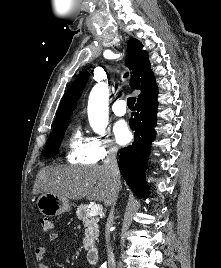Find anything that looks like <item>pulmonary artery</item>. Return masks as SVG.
Segmentation results:
<instances>
[{
	"instance_id": "obj_1",
	"label": "pulmonary artery",
	"mask_w": 221,
	"mask_h": 268,
	"mask_svg": "<svg viewBox=\"0 0 221 268\" xmlns=\"http://www.w3.org/2000/svg\"><path fill=\"white\" fill-rule=\"evenodd\" d=\"M112 110L117 116H124L127 112L126 102L124 100H117L112 105Z\"/></svg>"
}]
</instances>
